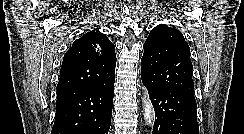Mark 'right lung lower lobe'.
<instances>
[{
    "label": "right lung lower lobe",
    "instance_id": "obj_1",
    "mask_svg": "<svg viewBox=\"0 0 244 134\" xmlns=\"http://www.w3.org/2000/svg\"><path fill=\"white\" fill-rule=\"evenodd\" d=\"M115 75L107 81L57 93L51 134H108Z\"/></svg>",
    "mask_w": 244,
    "mask_h": 134
}]
</instances>
